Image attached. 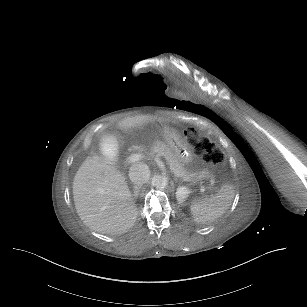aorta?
Returning <instances> with one entry per match:
<instances>
[{
    "instance_id": "762f6f07",
    "label": "aorta",
    "mask_w": 307,
    "mask_h": 307,
    "mask_svg": "<svg viewBox=\"0 0 307 307\" xmlns=\"http://www.w3.org/2000/svg\"><path fill=\"white\" fill-rule=\"evenodd\" d=\"M152 185L162 190L168 185V178L165 175H154L152 178Z\"/></svg>"
}]
</instances>
